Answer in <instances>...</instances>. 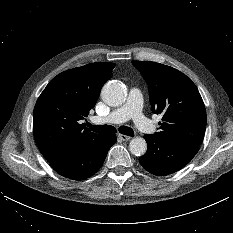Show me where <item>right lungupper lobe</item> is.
Listing matches in <instances>:
<instances>
[{
    "label": "right lung upper lobe",
    "instance_id": "right-lung-upper-lobe-1",
    "mask_svg": "<svg viewBox=\"0 0 233 233\" xmlns=\"http://www.w3.org/2000/svg\"><path fill=\"white\" fill-rule=\"evenodd\" d=\"M114 63L96 62L64 71L39 96L33 113V133L48 162L72 155L102 135L90 132L84 119L112 77Z\"/></svg>",
    "mask_w": 233,
    "mask_h": 233
}]
</instances>
